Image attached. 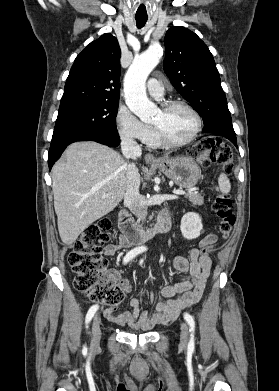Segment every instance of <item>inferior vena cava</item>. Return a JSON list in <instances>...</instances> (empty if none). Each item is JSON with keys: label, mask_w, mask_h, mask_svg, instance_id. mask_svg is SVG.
I'll use <instances>...</instances> for the list:
<instances>
[{"label": "inferior vena cava", "mask_w": 279, "mask_h": 391, "mask_svg": "<svg viewBox=\"0 0 279 391\" xmlns=\"http://www.w3.org/2000/svg\"><path fill=\"white\" fill-rule=\"evenodd\" d=\"M121 149L126 159H135L142 154L137 142L128 136L122 137ZM125 174L127 185L124 204L138 218V221L144 223L148 213L147 207L139 193L140 175L134 163H126Z\"/></svg>", "instance_id": "1"}]
</instances>
